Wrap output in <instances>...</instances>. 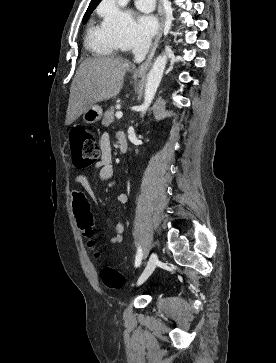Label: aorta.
<instances>
[{
    "mask_svg": "<svg viewBox=\"0 0 276 363\" xmlns=\"http://www.w3.org/2000/svg\"><path fill=\"white\" fill-rule=\"evenodd\" d=\"M128 2L129 0H117V4L120 7H125L128 4ZM167 60H168L167 55L165 53H162L155 59L151 67V70L149 71L145 86L144 102L140 107L142 117L147 112L148 108L150 107L154 99L156 91L161 82L167 64Z\"/></svg>",
    "mask_w": 276,
    "mask_h": 363,
    "instance_id": "762f6f07",
    "label": "aorta"
}]
</instances>
